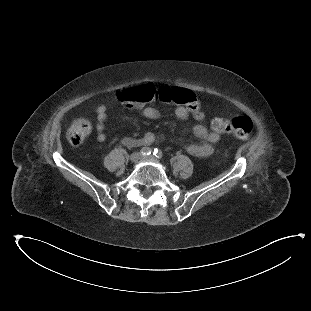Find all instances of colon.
<instances>
[{"label": "colon", "instance_id": "1", "mask_svg": "<svg viewBox=\"0 0 311 311\" xmlns=\"http://www.w3.org/2000/svg\"><path fill=\"white\" fill-rule=\"evenodd\" d=\"M119 99L121 104L127 110H134L140 104H151L156 101L162 103L175 104L182 106L195 117H202L203 111L197 97L185 89H174L171 87H162L157 89L152 84H145L138 87L122 88L119 91ZM235 126L233 129L239 139H246L250 130V120L245 115H238L234 118ZM229 119L216 117L210 127L218 133H228ZM92 131V125L86 118H80L70 125L66 131V138L73 147H78L89 136Z\"/></svg>", "mask_w": 311, "mask_h": 311}]
</instances>
